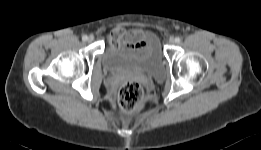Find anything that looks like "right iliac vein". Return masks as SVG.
I'll use <instances>...</instances> for the list:
<instances>
[{
    "mask_svg": "<svg viewBox=\"0 0 261 150\" xmlns=\"http://www.w3.org/2000/svg\"><path fill=\"white\" fill-rule=\"evenodd\" d=\"M93 40H94V36L90 35L89 38H88V42H92Z\"/></svg>",
    "mask_w": 261,
    "mask_h": 150,
    "instance_id": "63e3f726",
    "label": "right iliac vein"
}]
</instances>
